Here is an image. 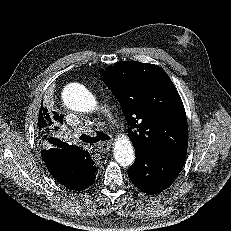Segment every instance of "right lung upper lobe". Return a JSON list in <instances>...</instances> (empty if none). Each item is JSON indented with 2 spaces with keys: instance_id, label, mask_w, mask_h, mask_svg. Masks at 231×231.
Wrapping results in <instances>:
<instances>
[{
  "instance_id": "1",
  "label": "right lung upper lobe",
  "mask_w": 231,
  "mask_h": 231,
  "mask_svg": "<svg viewBox=\"0 0 231 231\" xmlns=\"http://www.w3.org/2000/svg\"><path fill=\"white\" fill-rule=\"evenodd\" d=\"M47 108L41 107L38 115V129L43 137L42 158L52 176L62 185L69 189H78L83 179L87 167L82 161L87 158V151H82L79 147L69 145L57 138L48 137L52 126L63 120L54 118ZM57 128V127H55Z\"/></svg>"
}]
</instances>
